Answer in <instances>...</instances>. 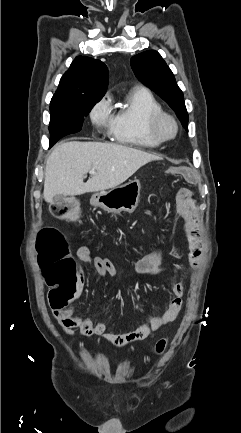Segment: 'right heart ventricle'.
<instances>
[{"label": "right heart ventricle", "instance_id": "right-heart-ventricle-1", "mask_svg": "<svg viewBox=\"0 0 241 433\" xmlns=\"http://www.w3.org/2000/svg\"><path fill=\"white\" fill-rule=\"evenodd\" d=\"M162 111L153 94L143 87L134 88L116 109L112 117L113 139L122 144L154 149L160 146L148 131V121L152 115Z\"/></svg>", "mask_w": 241, "mask_h": 433}]
</instances>
